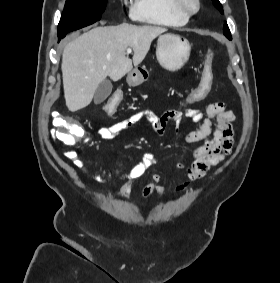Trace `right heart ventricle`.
<instances>
[{
  "mask_svg": "<svg viewBox=\"0 0 280 283\" xmlns=\"http://www.w3.org/2000/svg\"><path fill=\"white\" fill-rule=\"evenodd\" d=\"M131 16L138 22L165 27H179L188 22V15L176 0H134Z\"/></svg>",
  "mask_w": 280,
  "mask_h": 283,
  "instance_id": "obj_1",
  "label": "right heart ventricle"
}]
</instances>
